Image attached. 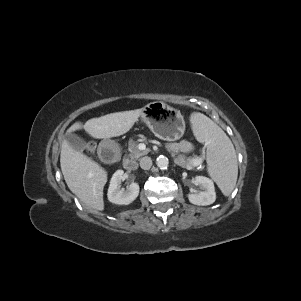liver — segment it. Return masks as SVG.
<instances>
[{"mask_svg": "<svg viewBox=\"0 0 301 301\" xmlns=\"http://www.w3.org/2000/svg\"><path fill=\"white\" fill-rule=\"evenodd\" d=\"M142 115V110H131L107 114L89 119L84 125L74 123L70 132L84 129L97 139L117 137L127 133ZM61 170L69 189L88 207L104 209L103 189L107 172L99 164L74 150L64 140L60 154Z\"/></svg>", "mask_w": 301, "mask_h": 301, "instance_id": "6515ba94", "label": "liver"}]
</instances>
